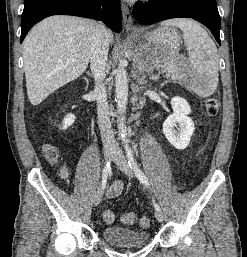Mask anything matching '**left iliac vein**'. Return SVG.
Masks as SVG:
<instances>
[{"label": "left iliac vein", "instance_id": "left-iliac-vein-1", "mask_svg": "<svg viewBox=\"0 0 247 257\" xmlns=\"http://www.w3.org/2000/svg\"><path fill=\"white\" fill-rule=\"evenodd\" d=\"M113 161L115 162V164L119 167V169L122 172H124L129 177H133L132 170L130 169L124 154L122 153V151L119 148L115 149ZM155 217L159 222H163V220H164V214L162 213L161 210L160 211L156 210Z\"/></svg>", "mask_w": 247, "mask_h": 257}]
</instances>
